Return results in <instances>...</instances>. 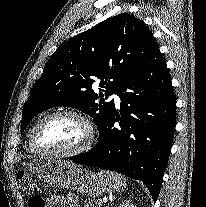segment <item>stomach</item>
<instances>
[{
  "label": "stomach",
  "instance_id": "stomach-1",
  "mask_svg": "<svg viewBox=\"0 0 206 207\" xmlns=\"http://www.w3.org/2000/svg\"><path fill=\"white\" fill-rule=\"evenodd\" d=\"M26 166L29 171L52 187L77 191L93 198L112 190L108 179L69 162L39 158L30 160Z\"/></svg>",
  "mask_w": 206,
  "mask_h": 207
}]
</instances>
